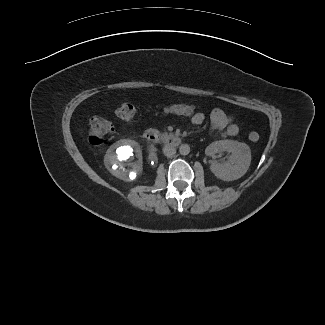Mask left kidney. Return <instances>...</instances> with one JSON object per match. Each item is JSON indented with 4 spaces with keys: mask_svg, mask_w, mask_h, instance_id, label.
<instances>
[{
    "mask_svg": "<svg viewBox=\"0 0 325 325\" xmlns=\"http://www.w3.org/2000/svg\"><path fill=\"white\" fill-rule=\"evenodd\" d=\"M229 152L231 155L224 164L213 162L211 171L224 181L237 180L245 175L251 163V151L247 144L234 140H220L207 146L205 153L214 157L217 153Z\"/></svg>",
    "mask_w": 325,
    "mask_h": 325,
    "instance_id": "left-kidney-1",
    "label": "left kidney"
}]
</instances>
